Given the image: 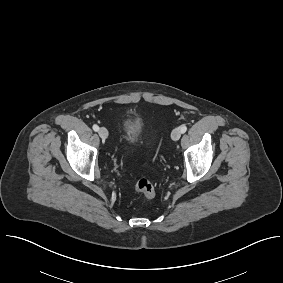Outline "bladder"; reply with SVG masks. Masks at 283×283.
I'll use <instances>...</instances> for the list:
<instances>
[{
  "instance_id": "bladder-1",
  "label": "bladder",
  "mask_w": 283,
  "mask_h": 283,
  "mask_svg": "<svg viewBox=\"0 0 283 283\" xmlns=\"http://www.w3.org/2000/svg\"><path fill=\"white\" fill-rule=\"evenodd\" d=\"M122 136L127 141L140 140L142 128L140 121L133 116H126L121 122Z\"/></svg>"
}]
</instances>
